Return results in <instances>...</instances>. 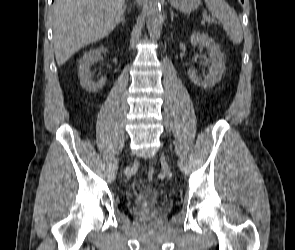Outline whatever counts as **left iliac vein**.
<instances>
[{
  "mask_svg": "<svg viewBox=\"0 0 295 250\" xmlns=\"http://www.w3.org/2000/svg\"><path fill=\"white\" fill-rule=\"evenodd\" d=\"M162 160H163V167H164V170H165V172L167 173V175L170 176V175H171V171H170V168H169V166H168V164H167L165 158L162 157Z\"/></svg>",
  "mask_w": 295,
  "mask_h": 250,
  "instance_id": "1",
  "label": "left iliac vein"
}]
</instances>
